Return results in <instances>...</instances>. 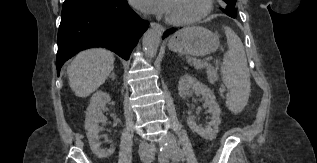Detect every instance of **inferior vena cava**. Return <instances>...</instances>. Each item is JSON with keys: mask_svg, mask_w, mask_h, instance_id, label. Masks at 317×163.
<instances>
[{"mask_svg": "<svg viewBox=\"0 0 317 163\" xmlns=\"http://www.w3.org/2000/svg\"><path fill=\"white\" fill-rule=\"evenodd\" d=\"M139 154L142 159L153 158L154 149L151 145L145 142H141L139 145Z\"/></svg>", "mask_w": 317, "mask_h": 163, "instance_id": "inferior-vena-cava-1", "label": "inferior vena cava"}]
</instances>
